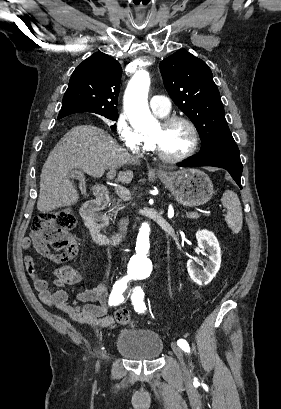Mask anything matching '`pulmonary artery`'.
<instances>
[{
    "label": "pulmonary artery",
    "instance_id": "e3ab8cb5",
    "mask_svg": "<svg viewBox=\"0 0 281 409\" xmlns=\"http://www.w3.org/2000/svg\"><path fill=\"white\" fill-rule=\"evenodd\" d=\"M150 110L158 115H165L169 112L171 105L170 97H151L149 99Z\"/></svg>",
    "mask_w": 281,
    "mask_h": 409
}]
</instances>
